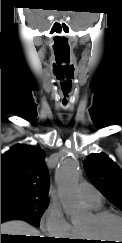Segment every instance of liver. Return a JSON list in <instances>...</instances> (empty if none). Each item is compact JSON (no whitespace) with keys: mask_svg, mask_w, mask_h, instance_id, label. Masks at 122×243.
<instances>
[{"mask_svg":"<svg viewBox=\"0 0 122 243\" xmlns=\"http://www.w3.org/2000/svg\"><path fill=\"white\" fill-rule=\"evenodd\" d=\"M1 234L42 237L41 233L36 228L20 220L2 223Z\"/></svg>","mask_w":122,"mask_h":243,"instance_id":"obj_1","label":"liver"}]
</instances>
